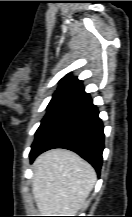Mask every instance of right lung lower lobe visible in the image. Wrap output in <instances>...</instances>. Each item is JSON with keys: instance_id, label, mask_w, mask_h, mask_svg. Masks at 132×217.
<instances>
[{"instance_id": "obj_1", "label": "right lung lower lobe", "mask_w": 132, "mask_h": 217, "mask_svg": "<svg viewBox=\"0 0 132 217\" xmlns=\"http://www.w3.org/2000/svg\"><path fill=\"white\" fill-rule=\"evenodd\" d=\"M89 95L76 98L62 109L33 143L31 162L42 152L65 148L87 160L99 174L104 149L103 124Z\"/></svg>"}]
</instances>
